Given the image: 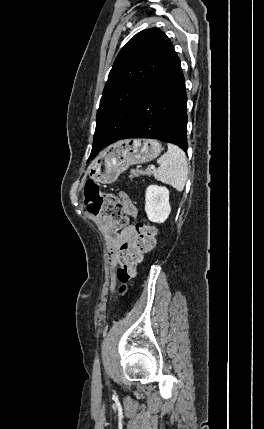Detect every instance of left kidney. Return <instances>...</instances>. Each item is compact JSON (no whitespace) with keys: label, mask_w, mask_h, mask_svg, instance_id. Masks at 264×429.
I'll use <instances>...</instances> for the list:
<instances>
[{"label":"left kidney","mask_w":264,"mask_h":429,"mask_svg":"<svg viewBox=\"0 0 264 429\" xmlns=\"http://www.w3.org/2000/svg\"><path fill=\"white\" fill-rule=\"evenodd\" d=\"M145 211L151 222H165L171 212L169 190L163 186H148L145 194Z\"/></svg>","instance_id":"left-kidney-1"}]
</instances>
